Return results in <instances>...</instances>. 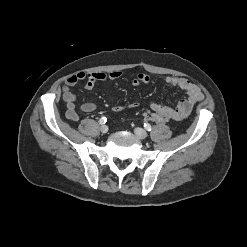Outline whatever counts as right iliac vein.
<instances>
[{
    "mask_svg": "<svg viewBox=\"0 0 247 247\" xmlns=\"http://www.w3.org/2000/svg\"><path fill=\"white\" fill-rule=\"evenodd\" d=\"M100 131H101L102 133H107V132H108V127H107L106 125H102V126L100 127Z\"/></svg>",
    "mask_w": 247,
    "mask_h": 247,
    "instance_id": "obj_1",
    "label": "right iliac vein"
}]
</instances>
